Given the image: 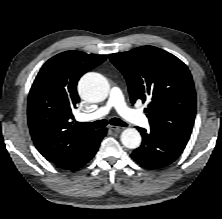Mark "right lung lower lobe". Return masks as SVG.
I'll list each match as a JSON object with an SVG mask.
<instances>
[{
	"instance_id": "1",
	"label": "right lung lower lobe",
	"mask_w": 222,
	"mask_h": 219,
	"mask_svg": "<svg viewBox=\"0 0 222 219\" xmlns=\"http://www.w3.org/2000/svg\"><path fill=\"white\" fill-rule=\"evenodd\" d=\"M106 132V128L96 130L93 136L89 139L84 148L81 150L79 155L76 157V159L65 169L76 170L88 163L96 154L100 142L106 135Z\"/></svg>"
}]
</instances>
